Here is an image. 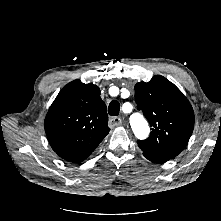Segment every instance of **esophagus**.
<instances>
[{"instance_id":"1","label":"esophagus","mask_w":221,"mask_h":221,"mask_svg":"<svg viewBox=\"0 0 221 221\" xmlns=\"http://www.w3.org/2000/svg\"><path fill=\"white\" fill-rule=\"evenodd\" d=\"M109 122H110V124L112 125V126H119V125H121L122 124V122H123V119L121 118V117H112V118H110V120H109Z\"/></svg>"}]
</instances>
